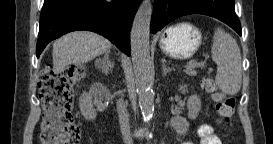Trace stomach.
<instances>
[{
  "mask_svg": "<svg viewBox=\"0 0 273 144\" xmlns=\"http://www.w3.org/2000/svg\"><path fill=\"white\" fill-rule=\"evenodd\" d=\"M201 43V32L190 24L171 26L164 30L159 37L161 51L177 59L192 57Z\"/></svg>",
  "mask_w": 273,
  "mask_h": 144,
  "instance_id": "stomach-1",
  "label": "stomach"
}]
</instances>
